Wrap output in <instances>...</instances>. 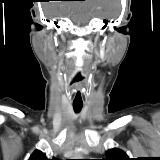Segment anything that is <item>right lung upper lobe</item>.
Wrapping results in <instances>:
<instances>
[{"mask_svg": "<svg viewBox=\"0 0 160 160\" xmlns=\"http://www.w3.org/2000/svg\"><path fill=\"white\" fill-rule=\"evenodd\" d=\"M28 160H49V159L42 151L35 150ZM52 160H57V159L54 157Z\"/></svg>", "mask_w": 160, "mask_h": 160, "instance_id": "right-lung-upper-lobe-1", "label": "right lung upper lobe"}]
</instances>
